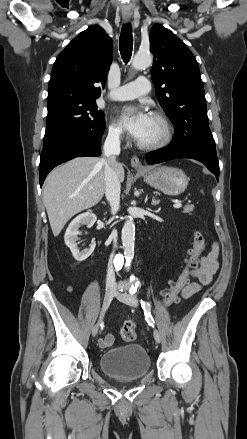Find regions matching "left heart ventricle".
Here are the masks:
<instances>
[{
	"label": "left heart ventricle",
	"mask_w": 247,
	"mask_h": 439,
	"mask_svg": "<svg viewBox=\"0 0 247 439\" xmlns=\"http://www.w3.org/2000/svg\"><path fill=\"white\" fill-rule=\"evenodd\" d=\"M162 127L160 123L153 117H151L149 126L143 135V137L139 140L142 143H152L159 140L162 137Z\"/></svg>",
	"instance_id": "1"
}]
</instances>
